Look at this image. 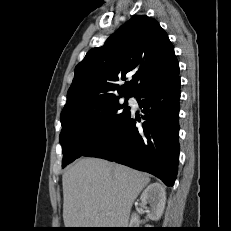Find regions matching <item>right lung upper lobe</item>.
Masks as SVG:
<instances>
[{
    "label": "right lung upper lobe",
    "instance_id": "cb5924a9",
    "mask_svg": "<svg viewBox=\"0 0 231 231\" xmlns=\"http://www.w3.org/2000/svg\"><path fill=\"white\" fill-rule=\"evenodd\" d=\"M132 80L119 85L127 74ZM179 74L174 47L159 23L137 15L93 48L75 67L62 115L95 107L120 96H136L151 84Z\"/></svg>",
    "mask_w": 231,
    "mask_h": 231
}]
</instances>
